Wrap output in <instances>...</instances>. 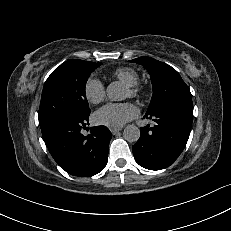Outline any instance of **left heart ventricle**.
I'll return each instance as SVG.
<instances>
[{
  "instance_id": "obj_1",
  "label": "left heart ventricle",
  "mask_w": 231,
  "mask_h": 231,
  "mask_svg": "<svg viewBox=\"0 0 231 231\" xmlns=\"http://www.w3.org/2000/svg\"><path fill=\"white\" fill-rule=\"evenodd\" d=\"M126 96H129V91H128V89L126 90Z\"/></svg>"
}]
</instances>
